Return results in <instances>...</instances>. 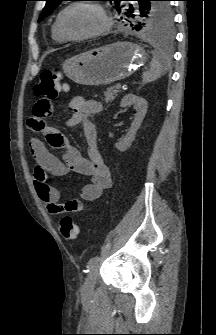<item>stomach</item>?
Here are the masks:
<instances>
[{"instance_id": "0dacf381", "label": "stomach", "mask_w": 216, "mask_h": 335, "mask_svg": "<svg viewBox=\"0 0 216 335\" xmlns=\"http://www.w3.org/2000/svg\"><path fill=\"white\" fill-rule=\"evenodd\" d=\"M147 59L145 50L139 45L118 41L69 58L62 67L74 82L100 86L125 79L142 67Z\"/></svg>"}]
</instances>
